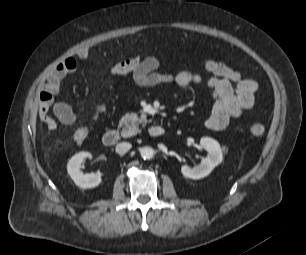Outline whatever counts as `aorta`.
<instances>
[{
	"label": "aorta",
	"instance_id": "obj_1",
	"mask_svg": "<svg viewBox=\"0 0 306 255\" xmlns=\"http://www.w3.org/2000/svg\"><path fill=\"white\" fill-rule=\"evenodd\" d=\"M154 150L151 147H143L140 149V155L144 160H150L154 157Z\"/></svg>",
	"mask_w": 306,
	"mask_h": 255
}]
</instances>
